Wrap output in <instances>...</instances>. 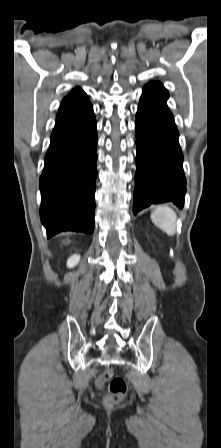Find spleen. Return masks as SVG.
Returning <instances> with one entry per match:
<instances>
[{"label": "spleen", "mask_w": 221, "mask_h": 448, "mask_svg": "<svg viewBox=\"0 0 221 448\" xmlns=\"http://www.w3.org/2000/svg\"><path fill=\"white\" fill-rule=\"evenodd\" d=\"M152 222L168 236H174L176 233L177 215L175 211L168 206H157L151 212Z\"/></svg>", "instance_id": "3e777b00"}]
</instances>
